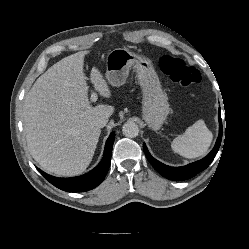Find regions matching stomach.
<instances>
[{
  "label": "stomach",
  "mask_w": 249,
  "mask_h": 249,
  "mask_svg": "<svg viewBox=\"0 0 249 249\" xmlns=\"http://www.w3.org/2000/svg\"><path fill=\"white\" fill-rule=\"evenodd\" d=\"M132 66L142 88L143 118L152 130H159L170 108L150 59L126 48H116L107 55L106 78L112 86H121L125 83Z\"/></svg>",
  "instance_id": "stomach-1"
}]
</instances>
